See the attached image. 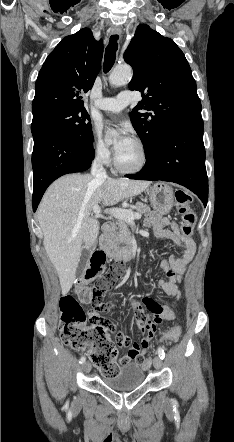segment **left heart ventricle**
I'll return each mask as SVG.
<instances>
[{
  "instance_id": "left-heart-ventricle-1",
  "label": "left heart ventricle",
  "mask_w": 234,
  "mask_h": 442,
  "mask_svg": "<svg viewBox=\"0 0 234 442\" xmlns=\"http://www.w3.org/2000/svg\"><path fill=\"white\" fill-rule=\"evenodd\" d=\"M117 159L125 168H132L138 165L141 155L137 145L132 142L124 151L117 154Z\"/></svg>"
}]
</instances>
